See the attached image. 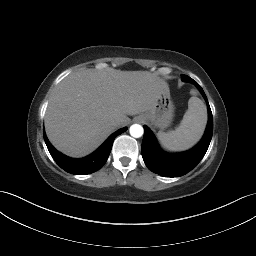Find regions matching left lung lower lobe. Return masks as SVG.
I'll return each instance as SVG.
<instances>
[{
  "instance_id": "obj_1",
  "label": "left lung lower lobe",
  "mask_w": 256,
  "mask_h": 256,
  "mask_svg": "<svg viewBox=\"0 0 256 256\" xmlns=\"http://www.w3.org/2000/svg\"><path fill=\"white\" fill-rule=\"evenodd\" d=\"M187 81L195 84L207 103L208 124L202 140L191 150L169 154L164 152L158 145L152 131L144 125V137L142 142V157L146 166L154 173L161 176L179 177L191 171L204 157L213 133V116L207 97L201 86L188 77Z\"/></svg>"
}]
</instances>
